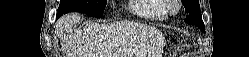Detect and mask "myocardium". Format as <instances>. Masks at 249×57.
Listing matches in <instances>:
<instances>
[{
    "label": "myocardium",
    "instance_id": "myocardium-1",
    "mask_svg": "<svg viewBox=\"0 0 249 57\" xmlns=\"http://www.w3.org/2000/svg\"><path fill=\"white\" fill-rule=\"evenodd\" d=\"M167 2L169 3L167 11L170 15H176L180 12L181 2L179 0H168Z\"/></svg>",
    "mask_w": 249,
    "mask_h": 57
}]
</instances>
